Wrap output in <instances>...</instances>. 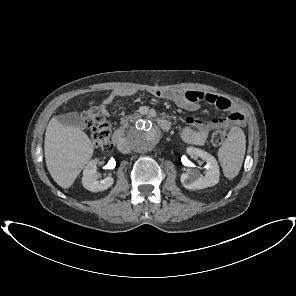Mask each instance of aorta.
Instances as JSON below:
<instances>
[{
    "label": "aorta",
    "instance_id": "762f6f07",
    "mask_svg": "<svg viewBox=\"0 0 296 296\" xmlns=\"http://www.w3.org/2000/svg\"><path fill=\"white\" fill-rule=\"evenodd\" d=\"M161 138V131L147 119L138 120L128 133L131 148L140 153L154 149Z\"/></svg>",
    "mask_w": 296,
    "mask_h": 296
}]
</instances>
